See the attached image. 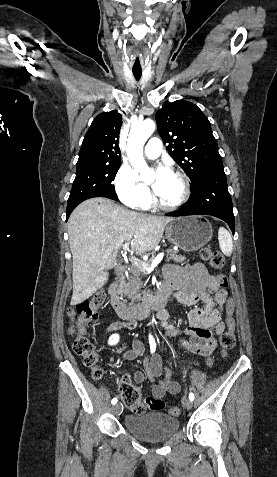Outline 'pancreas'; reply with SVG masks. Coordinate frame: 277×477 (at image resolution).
Returning <instances> with one entry per match:
<instances>
[{
	"label": "pancreas",
	"instance_id": "obj_1",
	"mask_svg": "<svg viewBox=\"0 0 277 477\" xmlns=\"http://www.w3.org/2000/svg\"><path fill=\"white\" fill-rule=\"evenodd\" d=\"M152 258L149 262L153 260ZM174 261L175 263H183L185 261V257L178 254V251L175 250H167V259L166 261ZM148 275V273L143 270L141 267H136L132 270V276L127 280V283L124 288L125 296L131 301V305H134L135 301H139L142 299L141 286L143 284L142 277Z\"/></svg>",
	"mask_w": 277,
	"mask_h": 477
}]
</instances>
